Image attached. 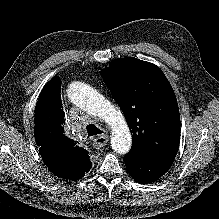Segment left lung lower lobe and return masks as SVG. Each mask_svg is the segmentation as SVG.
<instances>
[{"label": "left lung lower lobe", "mask_w": 219, "mask_h": 219, "mask_svg": "<svg viewBox=\"0 0 219 219\" xmlns=\"http://www.w3.org/2000/svg\"><path fill=\"white\" fill-rule=\"evenodd\" d=\"M123 160L129 174L142 184L158 180L171 167L174 161L171 159H156L144 155H126Z\"/></svg>", "instance_id": "1"}]
</instances>
